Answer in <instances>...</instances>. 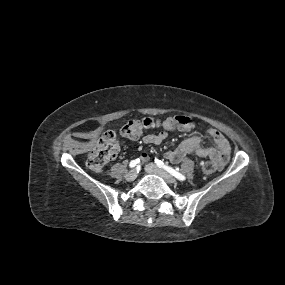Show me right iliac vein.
I'll use <instances>...</instances> for the list:
<instances>
[{"label": "right iliac vein", "mask_w": 285, "mask_h": 285, "mask_svg": "<svg viewBox=\"0 0 285 285\" xmlns=\"http://www.w3.org/2000/svg\"><path fill=\"white\" fill-rule=\"evenodd\" d=\"M137 177V171L135 169L129 171L126 175H125V179L127 181H134Z\"/></svg>", "instance_id": "1"}]
</instances>
